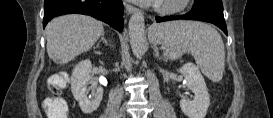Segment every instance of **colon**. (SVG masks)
<instances>
[{
    "mask_svg": "<svg viewBox=\"0 0 273 118\" xmlns=\"http://www.w3.org/2000/svg\"><path fill=\"white\" fill-rule=\"evenodd\" d=\"M50 84L54 87L55 93L43 100V109L49 118H66L68 107L59 93L60 87L56 85L54 78L50 79Z\"/></svg>",
    "mask_w": 273,
    "mask_h": 118,
    "instance_id": "obj_1",
    "label": "colon"
}]
</instances>
